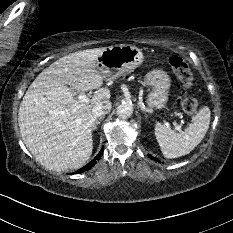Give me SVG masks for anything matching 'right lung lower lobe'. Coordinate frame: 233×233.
<instances>
[{"instance_id":"right-lung-lower-lobe-1","label":"right lung lower lobe","mask_w":233,"mask_h":233,"mask_svg":"<svg viewBox=\"0 0 233 233\" xmlns=\"http://www.w3.org/2000/svg\"><path fill=\"white\" fill-rule=\"evenodd\" d=\"M102 154H103V148L100 150V152L98 153V155L91 162H89L86 166H84L83 168L79 169L75 173L76 174L77 173H82L84 171L89 170L91 167H93L96 164V161L101 158Z\"/></svg>"}]
</instances>
